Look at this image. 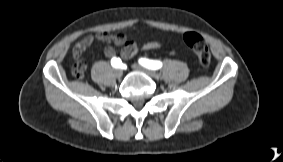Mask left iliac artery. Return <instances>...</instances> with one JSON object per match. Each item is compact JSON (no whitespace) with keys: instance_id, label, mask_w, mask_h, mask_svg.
Wrapping results in <instances>:
<instances>
[{"instance_id":"44dca946","label":"left iliac artery","mask_w":283,"mask_h":162,"mask_svg":"<svg viewBox=\"0 0 283 162\" xmlns=\"http://www.w3.org/2000/svg\"><path fill=\"white\" fill-rule=\"evenodd\" d=\"M139 63L151 70H157L160 69L162 67V62L160 61H156V60H149V59H145V58H141L139 59Z\"/></svg>"}]
</instances>
